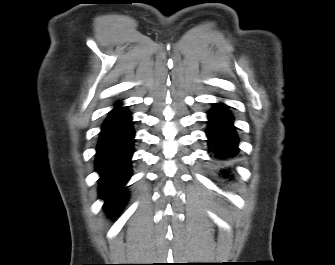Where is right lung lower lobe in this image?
<instances>
[{"mask_svg":"<svg viewBox=\"0 0 335 265\" xmlns=\"http://www.w3.org/2000/svg\"><path fill=\"white\" fill-rule=\"evenodd\" d=\"M134 130L131 114L126 107L114 108L100 132L96 153V168L100 173V196L111 213L117 212L126 202L123 188L131 174Z\"/></svg>","mask_w":335,"mask_h":265,"instance_id":"98d812e1","label":"right lung lower lobe"}]
</instances>
